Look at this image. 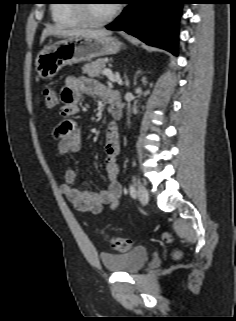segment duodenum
<instances>
[{
    "mask_svg": "<svg viewBox=\"0 0 236 321\" xmlns=\"http://www.w3.org/2000/svg\"><path fill=\"white\" fill-rule=\"evenodd\" d=\"M109 109L114 119L120 120L122 118L123 110L119 96L113 95L109 99Z\"/></svg>",
    "mask_w": 236,
    "mask_h": 321,
    "instance_id": "duodenum-1",
    "label": "duodenum"
}]
</instances>
